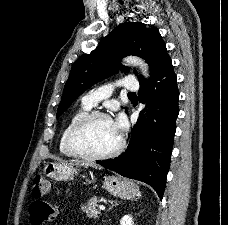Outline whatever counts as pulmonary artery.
I'll list each match as a JSON object with an SVG mask.
<instances>
[{
  "label": "pulmonary artery",
  "instance_id": "1",
  "mask_svg": "<svg viewBox=\"0 0 228 225\" xmlns=\"http://www.w3.org/2000/svg\"><path fill=\"white\" fill-rule=\"evenodd\" d=\"M122 80H135V75H122ZM114 84V83H110ZM115 90H140V81H119L115 83ZM108 85H100L99 89H95L94 92H89L81 98L83 105L90 108L95 107L106 95H101L102 93H108ZM109 93H112V90H109Z\"/></svg>",
  "mask_w": 228,
  "mask_h": 225
}]
</instances>
